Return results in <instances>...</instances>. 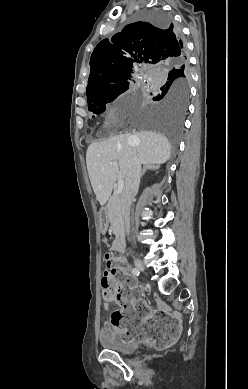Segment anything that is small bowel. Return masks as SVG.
I'll return each instance as SVG.
<instances>
[{
    "instance_id": "obj_1",
    "label": "small bowel",
    "mask_w": 248,
    "mask_h": 389,
    "mask_svg": "<svg viewBox=\"0 0 248 389\" xmlns=\"http://www.w3.org/2000/svg\"><path fill=\"white\" fill-rule=\"evenodd\" d=\"M113 303L118 304L119 302H118L117 300H115V299H108V298H105V301H104V304H103L104 309H105V310H109V309H110V305L113 304ZM159 308H160L161 310H166V309H167V305L164 304V303H160V304H159ZM103 328H104V330H108V329L110 328L109 322H105V323L103 324Z\"/></svg>"
}]
</instances>
